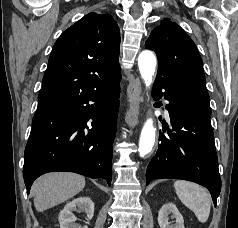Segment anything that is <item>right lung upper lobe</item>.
<instances>
[{
	"label": "right lung upper lobe",
	"instance_id": "right-lung-upper-lobe-1",
	"mask_svg": "<svg viewBox=\"0 0 238 228\" xmlns=\"http://www.w3.org/2000/svg\"><path fill=\"white\" fill-rule=\"evenodd\" d=\"M120 32L110 14L89 13L55 42L38 107L100 90L121 79Z\"/></svg>",
	"mask_w": 238,
	"mask_h": 228
}]
</instances>
